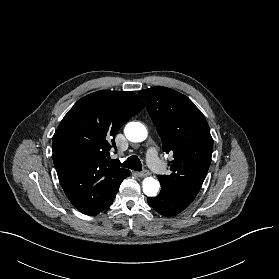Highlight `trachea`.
I'll return each mask as SVG.
<instances>
[{
  "label": "trachea",
  "instance_id": "3493384b",
  "mask_svg": "<svg viewBox=\"0 0 279 279\" xmlns=\"http://www.w3.org/2000/svg\"><path fill=\"white\" fill-rule=\"evenodd\" d=\"M122 167L132 169L135 171L142 170V164L140 159L136 155L130 156L123 164Z\"/></svg>",
  "mask_w": 279,
  "mask_h": 279
}]
</instances>
